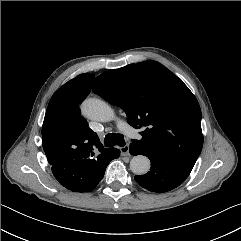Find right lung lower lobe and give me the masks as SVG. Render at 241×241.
<instances>
[{
    "instance_id": "right-lung-lower-lobe-1",
    "label": "right lung lower lobe",
    "mask_w": 241,
    "mask_h": 241,
    "mask_svg": "<svg viewBox=\"0 0 241 241\" xmlns=\"http://www.w3.org/2000/svg\"><path fill=\"white\" fill-rule=\"evenodd\" d=\"M119 155L120 151L113 148L109 154L95 159L66 160L50 165L53 175L63 187L73 192H90L103 178L110 161Z\"/></svg>"
}]
</instances>
